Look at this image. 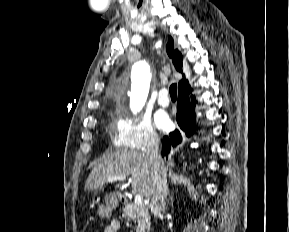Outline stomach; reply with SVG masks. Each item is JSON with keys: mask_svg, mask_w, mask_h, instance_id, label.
<instances>
[{"mask_svg": "<svg viewBox=\"0 0 289 232\" xmlns=\"http://www.w3.org/2000/svg\"><path fill=\"white\" fill-rule=\"evenodd\" d=\"M119 203V197L117 194H110L105 197V201L98 207L97 213L100 217H109L112 210L117 207Z\"/></svg>", "mask_w": 289, "mask_h": 232, "instance_id": "obj_1", "label": "stomach"}]
</instances>
